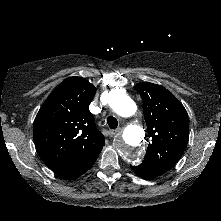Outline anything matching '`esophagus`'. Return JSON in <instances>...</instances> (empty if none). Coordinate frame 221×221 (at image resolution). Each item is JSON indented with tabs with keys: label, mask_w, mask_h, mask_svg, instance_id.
Listing matches in <instances>:
<instances>
[{
	"label": "esophagus",
	"mask_w": 221,
	"mask_h": 221,
	"mask_svg": "<svg viewBox=\"0 0 221 221\" xmlns=\"http://www.w3.org/2000/svg\"><path fill=\"white\" fill-rule=\"evenodd\" d=\"M121 131H122L121 128H118V129H115V130H110V131H109V136H110V137H113V136L119 134Z\"/></svg>",
	"instance_id": "obj_1"
}]
</instances>
